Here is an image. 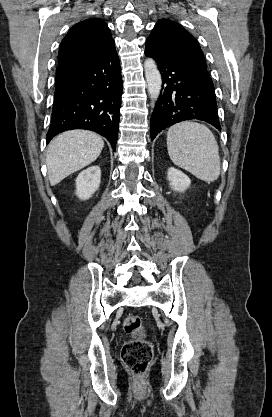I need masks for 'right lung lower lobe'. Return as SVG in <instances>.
I'll return each instance as SVG.
<instances>
[{
	"label": "right lung lower lobe",
	"mask_w": 272,
	"mask_h": 417,
	"mask_svg": "<svg viewBox=\"0 0 272 417\" xmlns=\"http://www.w3.org/2000/svg\"><path fill=\"white\" fill-rule=\"evenodd\" d=\"M122 91L114 43L94 60L59 65L47 142L66 130L88 129L107 138L115 151Z\"/></svg>",
	"instance_id": "right-lung-lower-lobe-1"
}]
</instances>
